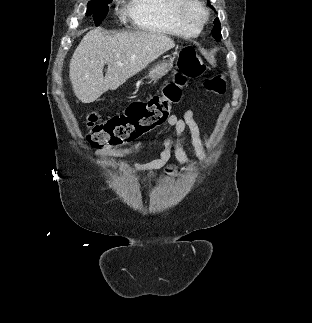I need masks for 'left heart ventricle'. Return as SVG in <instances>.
Returning <instances> with one entry per match:
<instances>
[{
    "mask_svg": "<svg viewBox=\"0 0 312 323\" xmlns=\"http://www.w3.org/2000/svg\"><path fill=\"white\" fill-rule=\"evenodd\" d=\"M191 12L192 18H199L201 9L200 7H192Z\"/></svg>",
    "mask_w": 312,
    "mask_h": 323,
    "instance_id": "1",
    "label": "left heart ventricle"
}]
</instances>
